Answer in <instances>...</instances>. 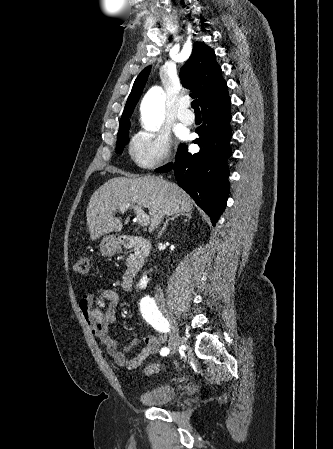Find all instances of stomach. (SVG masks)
<instances>
[{
    "label": "stomach",
    "instance_id": "0dacf381",
    "mask_svg": "<svg viewBox=\"0 0 333 449\" xmlns=\"http://www.w3.org/2000/svg\"><path fill=\"white\" fill-rule=\"evenodd\" d=\"M119 249V241L114 236H106L100 242V250L104 256H113Z\"/></svg>",
    "mask_w": 333,
    "mask_h": 449
}]
</instances>
